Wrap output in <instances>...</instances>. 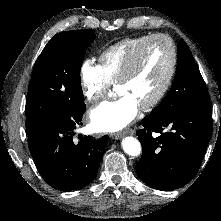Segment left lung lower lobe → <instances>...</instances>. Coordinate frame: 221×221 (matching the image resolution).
<instances>
[{
    "instance_id": "1",
    "label": "left lung lower lobe",
    "mask_w": 221,
    "mask_h": 221,
    "mask_svg": "<svg viewBox=\"0 0 221 221\" xmlns=\"http://www.w3.org/2000/svg\"><path fill=\"white\" fill-rule=\"evenodd\" d=\"M137 131L142 156L136 164L139 178L158 190L183 187L197 174L212 134L210 98L178 100L162 114L147 115ZM152 132L160 133L157 138Z\"/></svg>"
}]
</instances>
